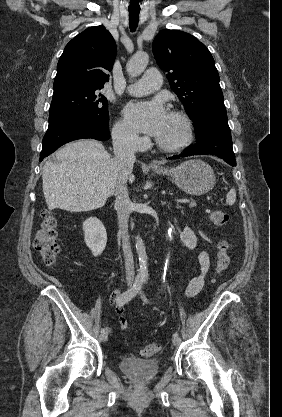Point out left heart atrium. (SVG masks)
<instances>
[{
  "label": "left heart atrium",
  "instance_id": "39dd6f15",
  "mask_svg": "<svg viewBox=\"0 0 282 417\" xmlns=\"http://www.w3.org/2000/svg\"><path fill=\"white\" fill-rule=\"evenodd\" d=\"M127 124L136 131L158 135L166 114L158 102L130 104L125 109Z\"/></svg>",
  "mask_w": 282,
  "mask_h": 417
}]
</instances>
